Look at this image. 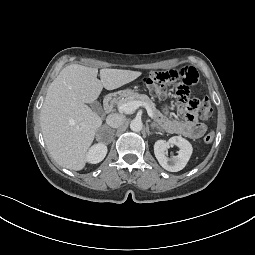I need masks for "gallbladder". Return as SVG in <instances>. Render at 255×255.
Returning a JSON list of instances; mask_svg holds the SVG:
<instances>
[{"instance_id":"gallbladder-1","label":"gallbladder","mask_w":255,"mask_h":255,"mask_svg":"<svg viewBox=\"0 0 255 255\" xmlns=\"http://www.w3.org/2000/svg\"><path fill=\"white\" fill-rule=\"evenodd\" d=\"M90 107L93 111H95L98 114H101L102 112V106L99 102L95 101L93 103L90 104Z\"/></svg>"}]
</instances>
